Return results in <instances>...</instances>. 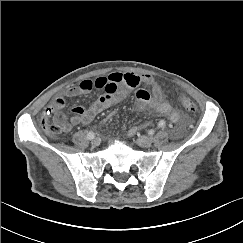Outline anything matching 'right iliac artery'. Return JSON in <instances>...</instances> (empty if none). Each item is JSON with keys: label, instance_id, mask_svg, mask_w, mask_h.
<instances>
[{"label": "right iliac artery", "instance_id": "right-iliac-artery-1", "mask_svg": "<svg viewBox=\"0 0 243 243\" xmlns=\"http://www.w3.org/2000/svg\"><path fill=\"white\" fill-rule=\"evenodd\" d=\"M94 137H95L94 132H92V131L88 132V134H87L88 139H93Z\"/></svg>", "mask_w": 243, "mask_h": 243}]
</instances>
